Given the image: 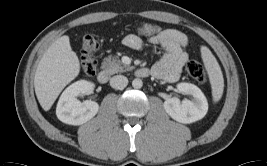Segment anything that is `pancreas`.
I'll return each mask as SVG.
<instances>
[{"instance_id":"pancreas-1","label":"pancreas","mask_w":267,"mask_h":166,"mask_svg":"<svg viewBox=\"0 0 267 166\" xmlns=\"http://www.w3.org/2000/svg\"><path fill=\"white\" fill-rule=\"evenodd\" d=\"M102 68L105 70L107 74L110 75L132 70V67L123 64L115 56H108L107 58H105L102 63Z\"/></svg>"}]
</instances>
